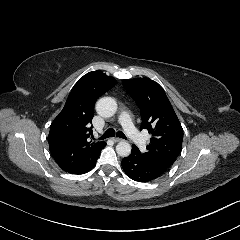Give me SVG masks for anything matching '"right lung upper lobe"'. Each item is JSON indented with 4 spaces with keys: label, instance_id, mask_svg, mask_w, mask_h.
<instances>
[{
    "label": "right lung upper lobe",
    "instance_id": "right-lung-upper-lobe-1",
    "mask_svg": "<svg viewBox=\"0 0 240 240\" xmlns=\"http://www.w3.org/2000/svg\"><path fill=\"white\" fill-rule=\"evenodd\" d=\"M115 84L113 77L100 71L87 73L75 84L64 108L52 122L49 150L64 171L83 174L96 163L106 143L90 139L94 103Z\"/></svg>",
    "mask_w": 240,
    "mask_h": 240
}]
</instances>
